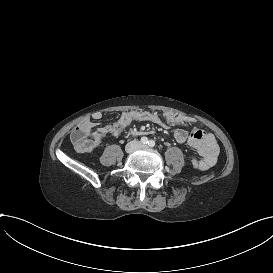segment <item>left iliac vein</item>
<instances>
[{
	"instance_id": "obj_1",
	"label": "left iliac vein",
	"mask_w": 273,
	"mask_h": 273,
	"mask_svg": "<svg viewBox=\"0 0 273 273\" xmlns=\"http://www.w3.org/2000/svg\"><path fill=\"white\" fill-rule=\"evenodd\" d=\"M145 147H147L145 144H141L138 146V148H145Z\"/></svg>"
}]
</instances>
